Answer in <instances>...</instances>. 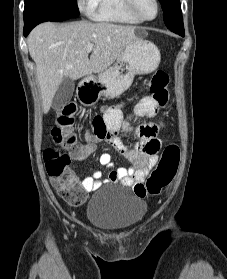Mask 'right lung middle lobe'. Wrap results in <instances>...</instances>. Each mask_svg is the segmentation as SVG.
I'll return each instance as SVG.
<instances>
[{"instance_id":"obj_1","label":"right lung middle lobe","mask_w":227,"mask_h":279,"mask_svg":"<svg viewBox=\"0 0 227 279\" xmlns=\"http://www.w3.org/2000/svg\"><path fill=\"white\" fill-rule=\"evenodd\" d=\"M39 10H47L70 18L79 16L76 0H25L24 19Z\"/></svg>"}]
</instances>
